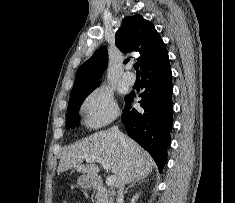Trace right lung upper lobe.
I'll use <instances>...</instances> for the list:
<instances>
[{
  "label": "right lung upper lobe",
  "instance_id": "cb5924a9",
  "mask_svg": "<svg viewBox=\"0 0 235 203\" xmlns=\"http://www.w3.org/2000/svg\"><path fill=\"white\" fill-rule=\"evenodd\" d=\"M116 46L122 53L137 51L142 72L168 57L166 46L154 25L141 15L125 17L115 35ZM108 62L105 46L99 48L78 69L72 93L99 84V79Z\"/></svg>",
  "mask_w": 235,
  "mask_h": 203
}]
</instances>
